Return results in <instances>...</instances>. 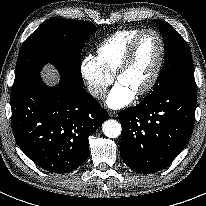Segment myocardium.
<instances>
[{"mask_svg": "<svg viewBox=\"0 0 206 206\" xmlns=\"http://www.w3.org/2000/svg\"><path fill=\"white\" fill-rule=\"evenodd\" d=\"M148 33H152L154 35L157 36L158 40H159V44H160V52H159V57H158V61L156 64V67L153 71V74L150 78V80L148 81V83L140 90L138 91L135 95L137 97H142L146 94H148L156 85L163 65H164V61H165V54H166V46H165V41L163 36L161 35V33L155 29H144L142 30L137 36H135V38L132 40V42L130 43L124 57L122 58L121 62L119 63L117 70L115 72V80L118 81V79L120 78V76L126 72V70L129 68L131 62L133 61V58L135 56L138 44L140 42V40L142 39V37Z\"/></svg>", "mask_w": 206, "mask_h": 206, "instance_id": "myocardium-1", "label": "myocardium"}]
</instances>
